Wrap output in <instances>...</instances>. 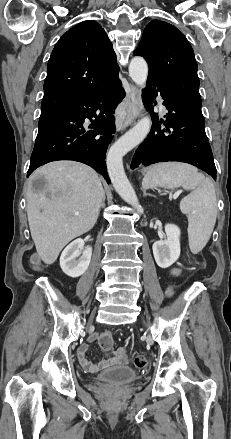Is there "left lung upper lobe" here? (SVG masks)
I'll use <instances>...</instances> for the list:
<instances>
[{"mask_svg":"<svg viewBox=\"0 0 231 439\" xmlns=\"http://www.w3.org/2000/svg\"><path fill=\"white\" fill-rule=\"evenodd\" d=\"M134 55L143 56L148 62V76L159 80L201 112L194 52L186 37L175 26L160 20L151 21Z\"/></svg>","mask_w":231,"mask_h":439,"instance_id":"1","label":"left lung upper lobe"}]
</instances>
